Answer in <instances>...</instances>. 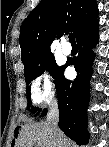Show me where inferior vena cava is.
<instances>
[{"instance_id":"inferior-vena-cava-1","label":"inferior vena cava","mask_w":109,"mask_h":147,"mask_svg":"<svg viewBox=\"0 0 109 147\" xmlns=\"http://www.w3.org/2000/svg\"><path fill=\"white\" fill-rule=\"evenodd\" d=\"M59 110L56 105H53L47 113V126L52 133L58 130Z\"/></svg>"}]
</instances>
